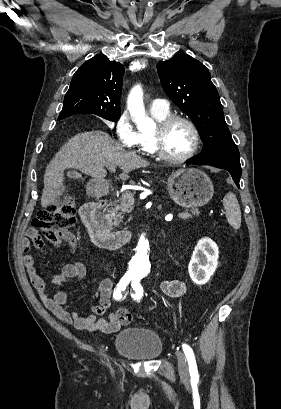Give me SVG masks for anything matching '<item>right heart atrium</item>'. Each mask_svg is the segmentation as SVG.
Here are the masks:
<instances>
[{
    "instance_id": "d8ad5b80",
    "label": "right heart atrium",
    "mask_w": 281,
    "mask_h": 409,
    "mask_svg": "<svg viewBox=\"0 0 281 409\" xmlns=\"http://www.w3.org/2000/svg\"><path fill=\"white\" fill-rule=\"evenodd\" d=\"M127 107H125L126 110ZM116 134L119 142L126 149H132L137 145V133L130 123V119H118L115 122Z\"/></svg>"
}]
</instances>
